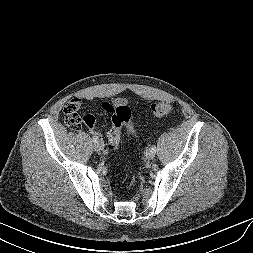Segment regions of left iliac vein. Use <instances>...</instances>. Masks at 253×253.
Segmentation results:
<instances>
[{"label":"left iliac vein","instance_id":"1","mask_svg":"<svg viewBox=\"0 0 253 253\" xmlns=\"http://www.w3.org/2000/svg\"><path fill=\"white\" fill-rule=\"evenodd\" d=\"M145 157L148 159V160H151L155 157V152L152 151L151 149H148L145 151Z\"/></svg>","mask_w":253,"mask_h":253}]
</instances>
